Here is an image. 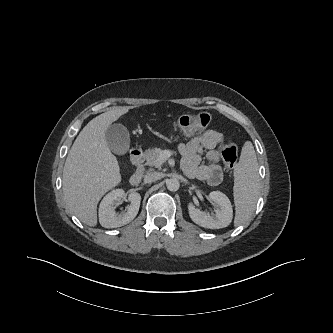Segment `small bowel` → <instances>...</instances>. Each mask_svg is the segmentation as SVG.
<instances>
[{
	"mask_svg": "<svg viewBox=\"0 0 333 333\" xmlns=\"http://www.w3.org/2000/svg\"><path fill=\"white\" fill-rule=\"evenodd\" d=\"M222 139V133L209 129L190 137L187 142L180 143L179 151L182 154V168L185 174L211 186L218 185L222 181L223 173L219 165L220 156L215 147ZM203 151H207L208 164H202Z\"/></svg>",
	"mask_w": 333,
	"mask_h": 333,
	"instance_id": "c3829d8e",
	"label": "small bowel"
}]
</instances>
